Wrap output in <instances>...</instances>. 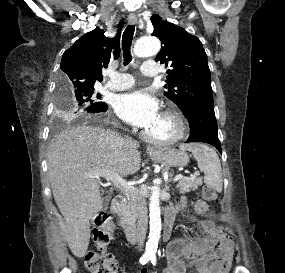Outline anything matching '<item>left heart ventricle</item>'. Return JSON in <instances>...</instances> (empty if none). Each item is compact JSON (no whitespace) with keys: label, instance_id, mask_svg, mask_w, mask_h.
Returning a JSON list of instances; mask_svg holds the SVG:
<instances>
[{"label":"left heart ventricle","instance_id":"left-heart-ventricle-1","mask_svg":"<svg viewBox=\"0 0 285 273\" xmlns=\"http://www.w3.org/2000/svg\"><path fill=\"white\" fill-rule=\"evenodd\" d=\"M176 131L175 124L169 118L160 115L154 125L146 130L151 136L159 139H165L172 136Z\"/></svg>","mask_w":285,"mask_h":273}]
</instances>
